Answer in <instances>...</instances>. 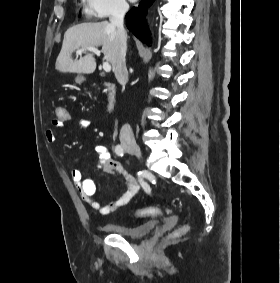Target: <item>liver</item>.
<instances>
[{
  "instance_id": "6515ba94",
  "label": "liver",
  "mask_w": 280,
  "mask_h": 283,
  "mask_svg": "<svg viewBox=\"0 0 280 283\" xmlns=\"http://www.w3.org/2000/svg\"><path fill=\"white\" fill-rule=\"evenodd\" d=\"M89 46H101L104 59L111 63L115 72L120 41L116 28L107 21L82 23L70 27L64 34L62 49L55 63L56 70L63 73H93L96 62L91 53L79 59L72 58L76 49Z\"/></svg>"
}]
</instances>
